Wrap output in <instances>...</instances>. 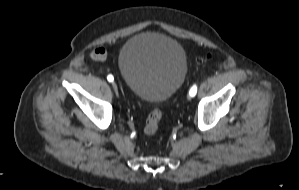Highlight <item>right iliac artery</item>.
Listing matches in <instances>:
<instances>
[{
	"label": "right iliac artery",
	"mask_w": 299,
	"mask_h": 190,
	"mask_svg": "<svg viewBox=\"0 0 299 190\" xmlns=\"http://www.w3.org/2000/svg\"><path fill=\"white\" fill-rule=\"evenodd\" d=\"M107 80L109 82H112L114 80V77L110 74V75L107 76Z\"/></svg>",
	"instance_id": "82829eb1"
}]
</instances>
